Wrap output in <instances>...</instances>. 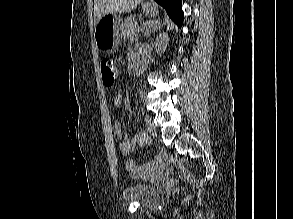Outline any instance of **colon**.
Wrapping results in <instances>:
<instances>
[{"label": "colon", "instance_id": "1", "mask_svg": "<svg viewBox=\"0 0 293 219\" xmlns=\"http://www.w3.org/2000/svg\"><path fill=\"white\" fill-rule=\"evenodd\" d=\"M102 79L105 86H112L119 74V66L117 61L112 57H105L101 62ZM150 138L146 135L142 141V146L148 145ZM126 168L128 170H134L135 162L129 160L126 162Z\"/></svg>", "mask_w": 293, "mask_h": 219}]
</instances>
